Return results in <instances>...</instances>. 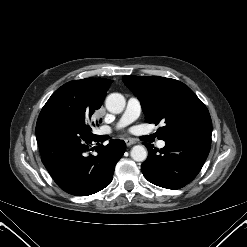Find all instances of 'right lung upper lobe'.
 <instances>
[{
	"label": "right lung upper lobe",
	"instance_id": "1",
	"mask_svg": "<svg viewBox=\"0 0 247 247\" xmlns=\"http://www.w3.org/2000/svg\"><path fill=\"white\" fill-rule=\"evenodd\" d=\"M75 81L82 83L89 90L96 93L102 100H104L107 90L112 83V80H107L104 78H87Z\"/></svg>",
	"mask_w": 247,
	"mask_h": 247
}]
</instances>
